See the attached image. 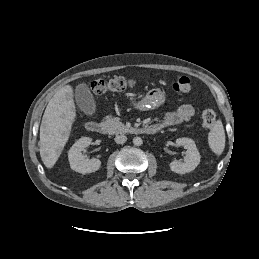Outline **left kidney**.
Wrapping results in <instances>:
<instances>
[{
    "instance_id": "1",
    "label": "left kidney",
    "mask_w": 259,
    "mask_h": 259,
    "mask_svg": "<svg viewBox=\"0 0 259 259\" xmlns=\"http://www.w3.org/2000/svg\"><path fill=\"white\" fill-rule=\"evenodd\" d=\"M176 145L184 147L187 151L184 162L172 161L170 163L171 171L178 174H185L193 171L200 163L201 158L195 142L190 138L183 137L176 139Z\"/></svg>"
}]
</instances>
